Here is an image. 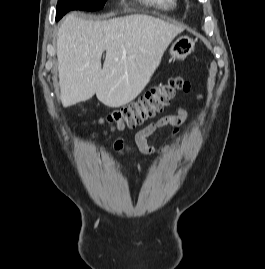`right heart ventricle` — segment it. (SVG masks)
I'll use <instances>...</instances> for the list:
<instances>
[{"label": "right heart ventricle", "mask_w": 265, "mask_h": 269, "mask_svg": "<svg viewBox=\"0 0 265 269\" xmlns=\"http://www.w3.org/2000/svg\"><path fill=\"white\" fill-rule=\"evenodd\" d=\"M146 4L152 5L158 9L171 11L177 8L178 0H141Z\"/></svg>", "instance_id": "right-heart-ventricle-1"}]
</instances>
